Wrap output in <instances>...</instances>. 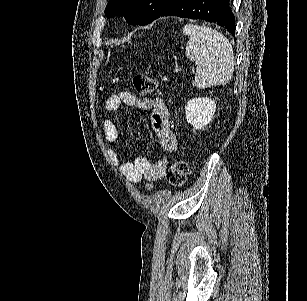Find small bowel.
<instances>
[{
    "mask_svg": "<svg viewBox=\"0 0 307 301\" xmlns=\"http://www.w3.org/2000/svg\"><path fill=\"white\" fill-rule=\"evenodd\" d=\"M122 105L133 108H140L151 115V125L159 138L160 145L164 151L174 152L177 149L175 134L170 128L168 111L161 98L145 97L137 98L128 91L113 94L105 101V109L109 112H116ZM103 133L105 140L114 145L119 139L117 125L111 120H104ZM108 154L112 161L119 167L121 173L131 182H139L142 178L149 181H156L162 178L166 172L168 160L166 158L150 162L145 156L138 155L132 162L121 160V152L115 147L108 148Z\"/></svg>",
    "mask_w": 307,
    "mask_h": 301,
    "instance_id": "1",
    "label": "small bowel"
}]
</instances>
